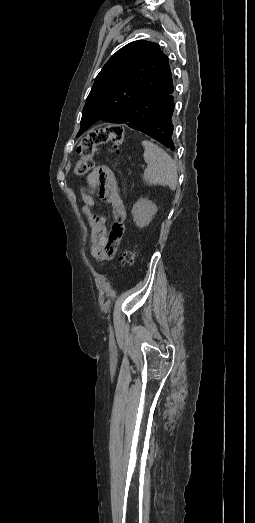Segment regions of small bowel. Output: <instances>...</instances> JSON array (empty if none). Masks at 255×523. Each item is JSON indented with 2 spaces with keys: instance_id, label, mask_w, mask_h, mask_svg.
Masks as SVG:
<instances>
[{
  "instance_id": "obj_1",
  "label": "small bowel",
  "mask_w": 255,
  "mask_h": 523,
  "mask_svg": "<svg viewBox=\"0 0 255 523\" xmlns=\"http://www.w3.org/2000/svg\"><path fill=\"white\" fill-rule=\"evenodd\" d=\"M90 189H97L98 196L111 205L114 221L110 231L105 225V218L95 214L93 208L96 204L94 197L87 188L81 189L83 202L82 212L87 216L92 228L90 255L100 263L111 260L119 247L125 229L126 211L118 183L105 165L95 167L87 176Z\"/></svg>"
}]
</instances>
